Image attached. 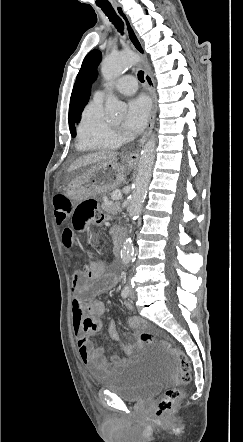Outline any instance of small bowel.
Segmentation results:
<instances>
[{"label": "small bowel", "mask_w": 243, "mask_h": 442, "mask_svg": "<svg viewBox=\"0 0 243 442\" xmlns=\"http://www.w3.org/2000/svg\"><path fill=\"white\" fill-rule=\"evenodd\" d=\"M117 282L118 276L115 273H107L104 264L100 260L90 261L86 270H78L74 275V333L79 356L94 376H101L130 365L141 348L139 343L122 341L114 321L109 323V335L126 357L119 353L107 357L104 347L102 345L96 346L90 340L91 336L101 330V317L106 311L105 304L93 300V297L100 292L112 289L117 285ZM125 307L129 310L132 309V305L129 303H126ZM127 323L129 327L135 330H143L146 327L145 321L137 316L130 317Z\"/></svg>", "instance_id": "small-bowel-1"}]
</instances>
